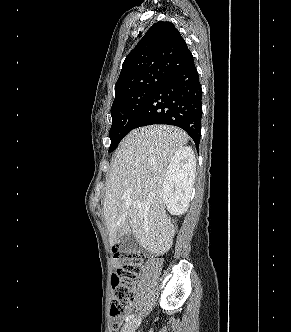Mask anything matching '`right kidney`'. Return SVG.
<instances>
[{
    "mask_svg": "<svg viewBox=\"0 0 291 332\" xmlns=\"http://www.w3.org/2000/svg\"><path fill=\"white\" fill-rule=\"evenodd\" d=\"M195 172L193 150L190 147L179 149L168 166L163 183V200L170 214L180 215L188 209Z\"/></svg>",
    "mask_w": 291,
    "mask_h": 332,
    "instance_id": "right-kidney-1",
    "label": "right kidney"
}]
</instances>
